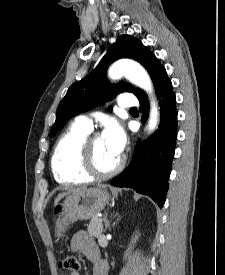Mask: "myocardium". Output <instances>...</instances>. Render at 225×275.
<instances>
[{"label": "myocardium", "mask_w": 225, "mask_h": 275, "mask_svg": "<svg viewBox=\"0 0 225 275\" xmlns=\"http://www.w3.org/2000/svg\"><path fill=\"white\" fill-rule=\"evenodd\" d=\"M98 134H88L82 141L79 148V166L80 169L90 178L107 179L118 174L124 167V158H120L117 165L108 172L99 171L94 163L92 141L98 138Z\"/></svg>", "instance_id": "f54148a6"}]
</instances>
